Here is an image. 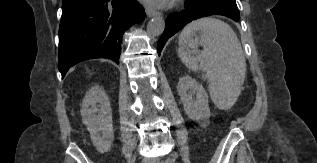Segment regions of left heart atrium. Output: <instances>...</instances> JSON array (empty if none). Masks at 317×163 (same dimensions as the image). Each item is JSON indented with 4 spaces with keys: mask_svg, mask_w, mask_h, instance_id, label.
<instances>
[{
    "mask_svg": "<svg viewBox=\"0 0 317 163\" xmlns=\"http://www.w3.org/2000/svg\"><path fill=\"white\" fill-rule=\"evenodd\" d=\"M144 1L151 5H156V6H161L166 2V0H144Z\"/></svg>",
    "mask_w": 317,
    "mask_h": 163,
    "instance_id": "obj_1",
    "label": "left heart atrium"
}]
</instances>
